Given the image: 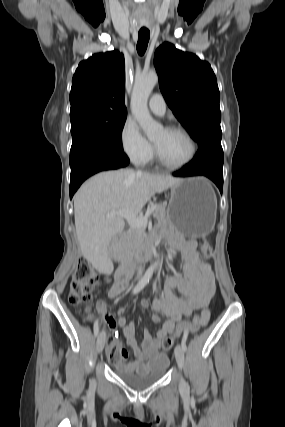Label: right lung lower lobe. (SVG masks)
I'll use <instances>...</instances> for the list:
<instances>
[{"label":"right lung lower lobe","instance_id":"obj_1","mask_svg":"<svg viewBox=\"0 0 285 427\" xmlns=\"http://www.w3.org/2000/svg\"><path fill=\"white\" fill-rule=\"evenodd\" d=\"M129 164V159L125 153H115L102 148H91L79 155L77 160L70 165V198L91 175L111 169H118Z\"/></svg>","mask_w":285,"mask_h":427}]
</instances>
